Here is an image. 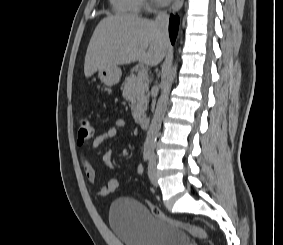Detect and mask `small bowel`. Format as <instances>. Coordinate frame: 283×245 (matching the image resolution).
<instances>
[{
	"instance_id": "c3829d8e",
	"label": "small bowel",
	"mask_w": 283,
	"mask_h": 245,
	"mask_svg": "<svg viewBox=\"0 0 283 245\" xmlns=\"http://www.w3.org/2000/svg\"><path fill=\"white\" fill-rule=\"evenodd\" d=\"M127 128V122L123 118H119L115 121L113 126H110L109 128L105 129L102 131L99 135L95 137V139L92 142V149L98 148L100 145H102L105 141L114 138L118 131L120 129H125ZM104 162L106 166L109 169L113 168V162H112V157H111V152L110 150H106L103 155ZM82 165L83 169L85 172V175L88 179V181L95 186L96 188V193L99 196H106L109 193L107 192L106 186H98V181H97V172L94 166L92 165L91 161L84 155H82ZM137 174H142L143 173V166L141 164H138L135 169Z\"/></svg>"
}]
</instances>
